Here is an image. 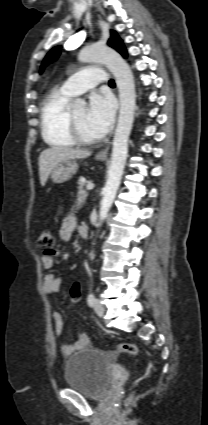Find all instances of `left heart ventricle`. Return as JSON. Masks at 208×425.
<instances>
[{"instance_id": "left-heart-ventricle-1", "label": "left heart ventricle", "mask_w": 208, "mask_h": 425, "mask_svg": "<svg viewBox=\"0 0 208 425\" xmlns=\"http://www.w3.org/2000/svg\"><path fill=\"white\" fill-rule=\"evenodd\" d=\"M75 120L77 121L82 134L88 139H97V136L89 129L86 124L85 116L86 110L84 108L72 111Z\"/></svg>"}]
</instances>
